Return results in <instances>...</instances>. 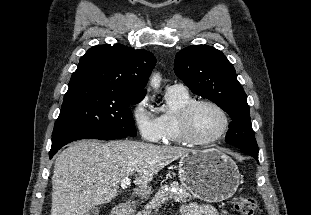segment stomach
<instances>
[{"mask_svg": "<svg viewBox=\"0 0 311 215\" xmlns=\"http://www.w3.org/2000/svg\"><path fill=\"white\" fill-rule=\"evenodd\" d=\"M182 186L195 197L210 203L221 202L232 197L240 181L235 162L216 149L192 151L184 155L178 166ZM151 188L139 191L147 196Z\"/></svg>", "mask_w": 311, "mask_h": 215, "instance_id": "obj_1", "label": "stomach"}]
</instances>
